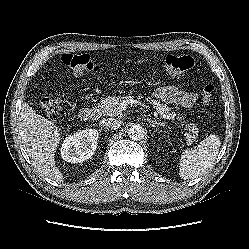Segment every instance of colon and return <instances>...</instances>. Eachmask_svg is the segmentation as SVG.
Here are the masks:
<instances>
[{"label": "colon", "mask_w": 249, "mask_h": 249, "mask_svg": "<svg viewBox=\"0 0 249 249\" xmlns=\"http://www.w3.org/2000/svg\"><path fill=\"white\" fill-rule=\"evenodd\" d=\"M62 62L79 76L97 73L100 70L99 65L88 54H64ZM193 64L194 60L190 56L169 55L164 61L163 68L168 75L177 76L192 68ZM214 89L212 84L203 87L202 100L204 104L211 102ZM40 106L47 116L56 119L63 109V99L60 97L43 98L40 101Z\"/></svg>", "instance_id": "colon-1"}]
</instances>
